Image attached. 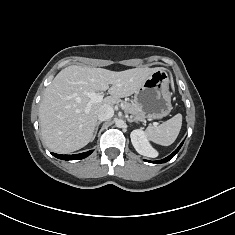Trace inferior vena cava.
<instances>
[{"instance_id": "inferior-vena-cava-1", "label": "inferior vena cava", "mask_w": 235, "mask_h": 235, "mask_svg": "<svg viewBox=\"0 0 235 235\" xmlns=\"http://www.w3.org/2000/svg\"><path fill=\"white\" fill-rule=\"evenodd\" d=\"M113 115H114L113 108L109 105H105L99 109L98 114H97V118L100 121H106V120L111 119L113 117Z\"/></svg>"}]
</instances>
